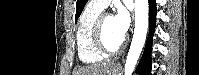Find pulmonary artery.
Listing matches in <instances>:
<instances>
[{
	"label": "pulmonary artery",
	"instance_id": "e3ab8cb5",
	"mask_svg": "<svg viewBox=\"0 0 199 75\" xmlns=\"http://www.w3.org/2000/svg\"><path fill=\"white\" fill-rule=\"evenodd\" d=\"M110 1L109 0H98V1H90V4L98 7L100 9H104L109 5Z\"/></svg>",
	"mask_w": 199,
	"mask_h": 75
}]
</instances>
